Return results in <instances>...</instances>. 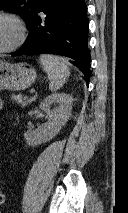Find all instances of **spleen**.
Instances as JSON below:
<instances>
[{
  "mask_svg": "<svg viewBox=\"0 0 128 213\" xmlns=\"http://www.w3.org/2000/svg\"><path fill=\"white\" fill-rule=\"evenodd\" d=\"M39 60L50 81L49 89L59 90L70 75L68 61L63 57L49 54L41 55Z\"/></svg>",
  "mask_w": 128,
  "mask_h": 213,
  "instance_id": "1",
  "label": "spleen"
}]
</instances>
